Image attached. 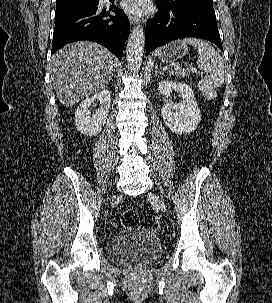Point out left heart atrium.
<instances>
[{
	"label": "left heart atrium",
	"instance_id": "1",
	"mask_svg": "<svg viewBox=\"0 0 272 303\" xmlns=\"http://www.w3.org/2000/svg\"><path fill=\"white\" fill-rule=\"evenodd\" d=\"M147 0H125L122 7L125 11L139 14L146 9Z\"/></svg>",
	"mask_w": 272,
	"mask_h": 303
}]
</instances>
